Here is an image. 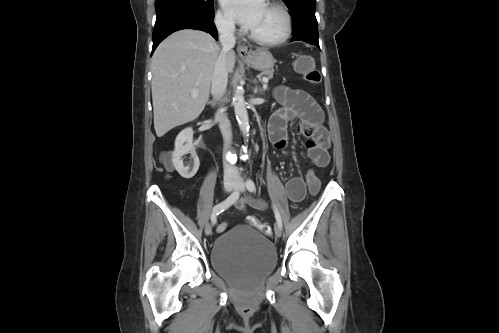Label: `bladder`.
Wrapping results in <instances>:
<instances>
[{
  "label": "bladder",
  "mask_w": 499,
  "mask_h": 333,
  "mask_svg": "<svg viewBox=\"0 0 499 333\" xmlns=\"http://www.w3.org/2000/svg\"><path fill=\"white\" fill-rule=\"evenodd\" d=\"M210 260L217 274L240 288H252L275 270L277 251L254 227L236 224L216 239Z\"/></svg>",
  "instance_id": "31cf9c89"
}]
</instances>
